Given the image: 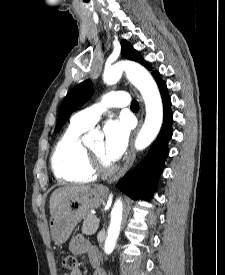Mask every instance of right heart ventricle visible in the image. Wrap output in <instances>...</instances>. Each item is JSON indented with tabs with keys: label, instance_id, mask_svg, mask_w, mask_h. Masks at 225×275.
I'll return each mask as SVG.
<instances>
[{
	"label": "right heart ventricle",
	"instance_id": "obj_1",
	"mask_svg": "<svg viewBox=\"0 0 225 275\" xmlns=\"http://www.w3.org/2000/svg\"><path fill=\"white\" fill-rule=\"evenodd\" d=\"M88 128L71 123L58 139L51 156L56 178L70 183H87L96 175L88 166L82 135Z\"/></svg>",
	"mask_w": 225,
	"mask_h": 275
}]
</instances>
